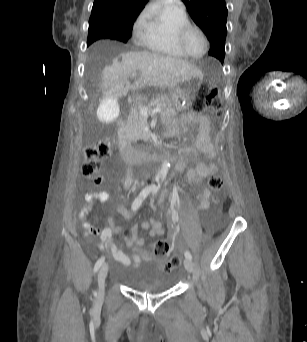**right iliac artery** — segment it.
Listing matches in <instances>:
<instances>
[{"label":"right iliac artery","mask_w":307,"mask_h":342,"mask_svg":"<svg viewBox=\"0 0 307 342\" xmlns=\"http://www.w3.org/2000/svg\"><path fill=\"white\" fill-rule=\"evenodd\" d=\"M152 189L153 188H145L140 192V194L138 195V197L134 200L132 204L133 211H136L140 207V205L145 200V198L150 194V192H152ZM104 261H105V257H101L98 259L94 267V272H97L99 270V268L103 265Z\"/></svg>","instance_id":"right-iliac-artery-1"}]
</instances>
